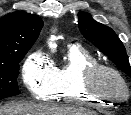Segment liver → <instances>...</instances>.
Here are the masks:
<instances>
[{
    "label": "liver",
    "mask_w": 131,
    "mask_h": 115,
    "mask_svg": "<svg viewBox=\"0 0 131 115\" xmlns=\"http://www.w3.org/2000/svg\"><path fill=\"white\" fill-rule=\"evenodd\" d=\"M0 115H97L82 107L10 102L0 106Z\"/></svg>",
    "instance_id": "6515ba94"
}]
</instances>
